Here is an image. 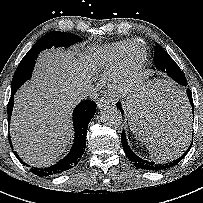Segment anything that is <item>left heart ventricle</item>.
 I'll use <instances>...</instances> for the list:
<instances>
[{"label": "left heart ventricle", "mask_w": 203, "mask_h": 203, "mask_svg": "<svg viewBox=\"0 0 203 203\" xmlns=\"http://www.w3.org/2000/svg\"><path fill=\"white\" fill-rule=\"evenodd\" d=\"M143 55V49L140 44H135L132 46L131 51H130V61L131 63H136L138 62Z\"/></svg>", "instance_id": "b2bd125f"}]
</instances>
